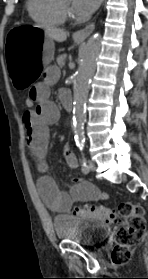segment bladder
<instances>
[{
	"label": "bladder",
	"instance_id": "31cf9c89",
	"mask_svg": "<svg viewBox=\"0 0 148 279\" xmlns=\"http://www.w3.org/2000/svg\"><path fill=\"white\" fill-rule=\"evenodd\" d=\"M53 227L59 240L77 242L84 246H97L110 233V227L105 223L70 215L54 216Z\"/></svg>",
	"mask_w": 148,
	"mask_h": 279
}]
</instances>
